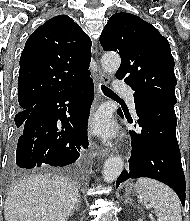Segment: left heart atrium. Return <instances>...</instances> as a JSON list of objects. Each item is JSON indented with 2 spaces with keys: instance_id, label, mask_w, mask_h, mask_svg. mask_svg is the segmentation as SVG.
Returning <instances> with one entry per match:
<instances>
[{
  "instance_id": "39dd6f15",
  "label": "left heart atrium",
  "mask_w": 190,
  "mask_h": 221,
  "mask_svg": "<svg viewBox=\"0 0 190 221\" xmlns=\"http://www.w3.org/2000/svg\"><path fill=\"white\" fill-rule=\"evenodd\" d=\"M91 131L105 139L113 138L117 128L106 110L98 111L90 120Z\"/></svg>"
}]
</instances>
